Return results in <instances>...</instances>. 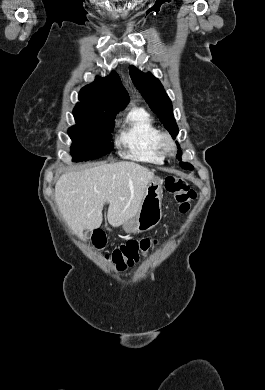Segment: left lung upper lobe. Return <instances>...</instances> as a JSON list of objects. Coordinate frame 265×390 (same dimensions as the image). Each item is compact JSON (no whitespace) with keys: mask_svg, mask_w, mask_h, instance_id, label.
Listing matches in <instances>:
<instances>
[{"mask_svg":"<svg viewBox=\"0 0 265 390\" xmlns=\"http://www.w3.org/2000/svg\"><path fill=\"white\" fill-rule=\"evenodd\" d=\"M129 73L134 85L145 98L151 110L159 117L171 136L175 138L178 134V126L174 119L173 106L159 79L151 73H142L134 66H130ZM181 155L179 150L177 155L179 160H181ZM180 165L184 169H193L189 163L180 162Z\"/></svg>","mask_w":265,"mask_h":390,"instance_id":"obj_1","label":"left lung upper lobe"}]
</instances>
